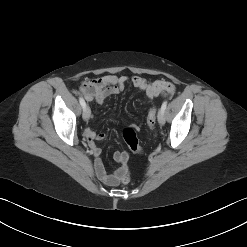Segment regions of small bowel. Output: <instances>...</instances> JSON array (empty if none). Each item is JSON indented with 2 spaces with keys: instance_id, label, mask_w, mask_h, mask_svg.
<instances>
[{
  "instance_id": "c3829d8e",
  "label": "small bowel",
  "mask_w": 247,
  "mask_h": 247,
  "mask_svg": "<svg viewBox=\"0 0 247 247\" xmlns=\"http://www.w3.org/2000/svg\"><path fill=\"white\" fill-rule=\"evenodd\" d=\"M130 82L135 88L144 92L148 99L152 100L160 95L171 94L174 91V85L168 81L159 80L148 82L140 76H117L114 74H106L98 78L84 81L80 86V92L86 101H94L98 104L103 103L109 96L120 93L124 90L126 84ZM85 136L89 140L90 148L95 157L94 168L100 180L107 185H117L120 182V177L127 173V162L129 155L126 152H115V161L122 166L114 172H107L100 158L101 149L95 144V140L103 141L106 138L104 133H96L90 128H86Z\"/></svg>"
}]
</instances>
